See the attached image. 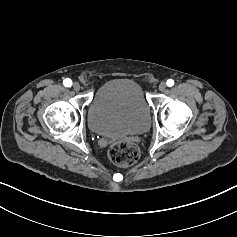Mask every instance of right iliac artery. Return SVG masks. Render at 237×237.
Wrapping results in <instances>:
<instances>
[{
	"mask_svg": "<svg viewBox=\"0 0 237 237\" xmlns=\"http://www.w3.org/2000/svg\"><path fill=\"white\" fill-rule=\"evenodd\" d=\"M63 85H64L65 87H71V85H72L71 79H69V78L64 79Z\"/></svg>",
	"mask_w": 237,
	"mask_h": 237,
	"instance_id": "right-iliac-artery-1",
	"label": "right iliac artery"
}]
</instances>
